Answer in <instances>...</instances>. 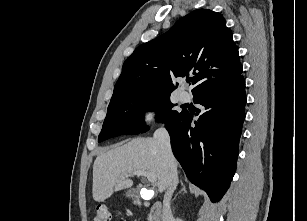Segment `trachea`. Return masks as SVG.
Masks as SVG:
<instances>
[{
	"label": "trachea",
	"mask_w": 307,
	"mask_h": 221,
	"mask_svg": "<svg viewBox=\"0 0 307 221\" xmlns=\"http://www.w3.org/2000/svg\"><path fill=\"white\" fill-rule=\"evenodd\" d=\"M191 80H187L188 83H190Z\"/></svg>",
	"instance_id": "trachea-1"
}]
</instances>
